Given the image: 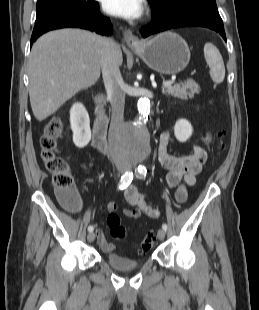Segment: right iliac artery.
Segmentation results:
<instances>
[{
	"label": "right iliac artery",
	"instance_id": "right-iliac-artery-1",
	"mask_svg": "<svg viewBox=\"0 0 259 310\" xmlns=\"http://www.w3.org/2000/svg\"><path fill=\"white\" fill-rule=\"evenodd\" d=\"M133 179V173L132 172H125L124 175L121 177V180L119 182V189L123 190L125 189L132 181ZM93 226L88 227V231L92 232L93 231Z\"/></svg>",
	"mask_w": 259,
	"mask_h": 310
}]
</instances>
